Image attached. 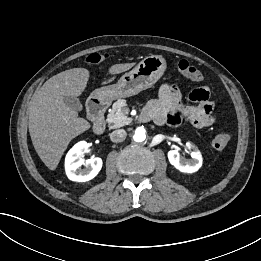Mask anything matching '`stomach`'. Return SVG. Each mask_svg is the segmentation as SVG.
Instances as JSON below:
<instances>
[{"instance_id": "stomach-1", "label": "stomach", "mask_w": 261, "mask_h": 261, "mask_svg": "<svg viewBox=\"0 0 261 261\" xmlns=\"http://www.w3.org/2000/svg\"><path fill=\"white\" fill-rule=\"evenodd\" d=\"M166 61L161 55H150L121 76L116 84L92 92L91 97L103 102L130 97L152 87L164 74Z\"/></svg>"}]
</instances>
